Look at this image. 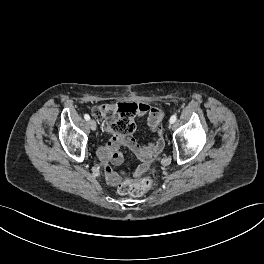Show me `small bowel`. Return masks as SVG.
<instances>
[{
	"label": "small bowel",
	"mask_w": 264,
	"mask_h": 264,
	"mask_svg": "<svg viewBox=\"0 0 264 264\" xmlns=\"http://www.w3.org/2000/svg\"><path fill=\"white\" fill-rule=\"evenodd\" d=\"M136 105V115L147 117L148 126L154 136L149 144L140 146L135 139L117 134L110 127L108 128V131L111 133V138L104 146L99 148L98 157L104 163L107 182L112 186L117 185L120 181V176L114 170L113 166L120 165L123 162L121 147H128L144 163L152 161L163 149V140L160 137V125L164 117V112L160 108L146 103Z\"/></svg>",
	"instance_id": "small-bowel-1"
}]
</instances>
